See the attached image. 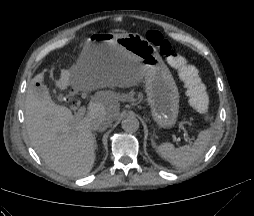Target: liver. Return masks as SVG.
Here are the masks:
<instances>
[{"label": "liver", "mask_w": 254, "mask_h": 216, "mask_svg": "<svg viewBox=\"0 0 254 216\" xmlns=\"http://www.w3.org/2000/svg\"><path fill=\"white\" fill-rule=\"evenodd\" d=\"M85 46L78 62L68 71L61 69L55 85L66 90L92 91L105 87L127 88L143 81L141 70L124 53L119 52L108 64L90 66L83 63ZM44 69L28 87L25 100V123L32 147L54 171L64 176L81 177L93 168L96 154L90 120L103 116L111 123L119 117L122 96L113 91L97 92L88 104L85 117H74L71 110L40 95L34 84L44 78Z\"/></svg>", "instance_id": "6515ba94"}]
</instances>
